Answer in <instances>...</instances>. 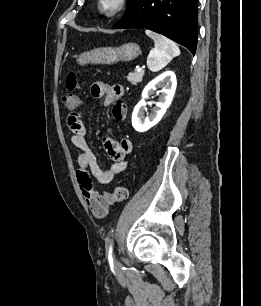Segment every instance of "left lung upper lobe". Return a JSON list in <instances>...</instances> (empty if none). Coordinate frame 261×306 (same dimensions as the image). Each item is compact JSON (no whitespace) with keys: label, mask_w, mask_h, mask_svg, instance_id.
<instances>
[{"label":"left lung upper lobe","mask_w":261,"mask_h":306,"mask_svg":"<svg viewBox=\"0 0 261 306\" xmlns=\"http://www.w3.org/2000/svg\"><path fill=\"white\" fill-rule=\"evenodd\" d=\"M136 2L137 0H128V8L126 13L135 5Z\"/></svg>","instance_id":"1"}]
</instances>
